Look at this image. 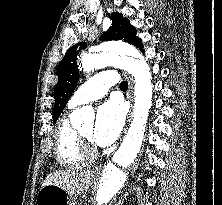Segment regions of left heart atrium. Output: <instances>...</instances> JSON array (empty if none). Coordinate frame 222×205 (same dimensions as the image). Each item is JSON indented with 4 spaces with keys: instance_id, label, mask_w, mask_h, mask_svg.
Wrapping results in <instances>:
<instances>
[{
    "instance_id": "obj_1",
    "label": "left heart atrium",
    "mask_w": 222,
    "mask_h": 205,
    "mask_svg": "<svg viewBox=\"0 0 222 205\" xmlns=\"http://www.w3.org/2000/svg\"><path fill=\"white\" fill-rule=\"evenodd\" d=\"M125 111L122 103L111 99L98 107L93 137L100 146L112 144L124 126Z\"/></svg>"
}]
</instances>
